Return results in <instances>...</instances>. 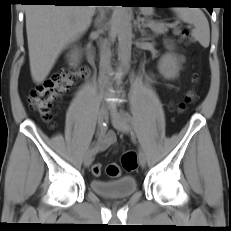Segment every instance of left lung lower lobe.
Masks as SVG:
<instances>
[{
    "instance_id": "left-lung-lower-lobe-1",
    "label": "left lung lower lobe",
    "mask_w": 231,
    "mask_h": 231,
    "mask_svg": "<svg viewBox=\"0 0 231 231\" xmlns=\"http://www.w3.org/2000/svg\"><path fill=\"white\" fill-rule=\"evenodd\" d=\"M207 9L212 14V7H207Z\"/></svg>"
}]
</instances>
